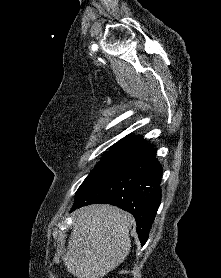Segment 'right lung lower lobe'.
Here are the masks:
<instances>
[{
  "label": "right lung lower lobe",
  "instance_id": "obj_1",
  "mask_svg": "<svg viewBox=\"0 0 221 278\" xmlns=\"http://www.w3.org/2000/svg\"><path fill=\"white\" fill-rule=\"evenodd\" d=\"M135 150L136 156L129 164L99 182L71 211L94 203L111 204L128 211L136 219V231L143 246L160 206L163 169L155 158L153 146Z\"/></svg>",
  "mask_w": 221,
  "mask_h": 278
}]
</instances>
